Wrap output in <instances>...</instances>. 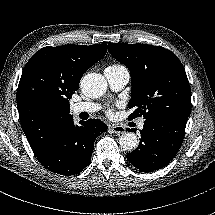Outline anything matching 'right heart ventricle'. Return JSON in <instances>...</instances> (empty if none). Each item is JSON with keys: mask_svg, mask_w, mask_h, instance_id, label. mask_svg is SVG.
Returning <instances> with one entry per match:
<instances>
[{"mask_svg": "<svg viewBox=\"0 0 215 215\" xmlns=\"http://www.w3.org/2000/svg\"><path fill=\"white\" fill-rule=\"evenodd\" d=\"M110 67H112V68H118V67H121V66H120V65L115 64V65H112V66H110Z\"/></svg>", "mask_w": 215, "mask_h": 215, "instance_id": "obj_1", "label": "right heart ventricle"}]
</instances>
